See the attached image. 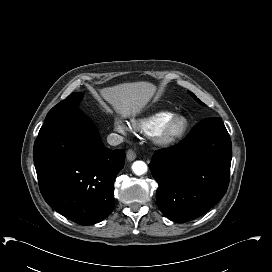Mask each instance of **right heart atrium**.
Instances as JSON below:
<instances>
[{"label": "right heart atrium", "mask_w": 272, "mask_h": 272, "mask_svg": "<svg viewBox=\"0 0 272 272\" xmlns=\"http://www.w3.org/2000/svg\"><path fill=\"white\" fill-rule=\"evenodd\" d=\"M114 129L117 132L124 134V133H126V131H128V126L124 121H122L119 118H116L114 120Z\"/></svg>", "instance_id": "d8ad5b80"}]
</instances>
